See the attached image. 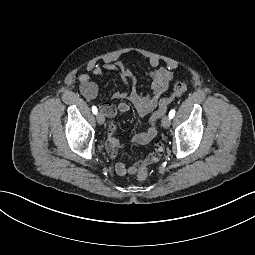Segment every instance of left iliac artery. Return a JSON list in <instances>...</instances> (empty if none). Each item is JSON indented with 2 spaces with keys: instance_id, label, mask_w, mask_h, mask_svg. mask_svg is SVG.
Returning <instances> with one entry per match:
<instances>
[{
  "instance_id": "left-iliac-artery-1",
  "label": "left iliac artery",
  "mask_w": 255,
  "mask_h": 255,
  "mask_svg": "<svg viewBox=\"0 0 255 255\" xmlns=\"http://www.w3.org/2000/svg\"><path fill=\"white\" fill-rule=\"evenodd\" d=\"M174 115H175V110H171L170 112H169V117H170V119H172L173 117H174Z\"/></svg>"
}]
</instances>
